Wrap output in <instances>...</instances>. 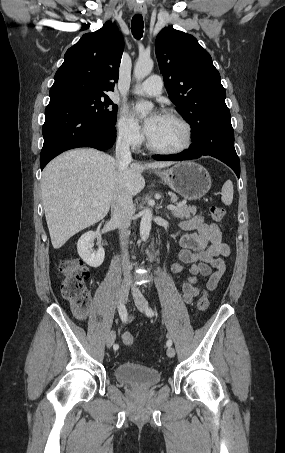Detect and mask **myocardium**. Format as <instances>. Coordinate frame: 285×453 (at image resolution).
Returning <instances> with one entry per match:
<instances>
[{"label": "myocardium", "mask_w": 285, "mask_h": 453, "mask_svg": "<svg viewBox=\"0 0 285 453\" xmlns=\"http://www.w3.org/2000/svg\"><path fill=\"white\" fill-rule=\"evenodd\" d=\"M162 115L171 117L182 124V126L185 129V133H186L185 142L180 147L168 149V148H162V147L156 146L155 144L152 143L149 136H147L146 144H147L148 149L155 153L164 154V155H177V154H181V153L187 151L193 144V129H192L191 124L181 114H179L178 112H176L174 110H165L162 113Z\"/></svg>", "instance_id": "1"}]
</instances>
